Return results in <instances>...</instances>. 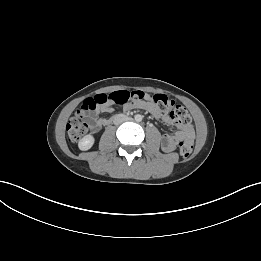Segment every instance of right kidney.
Wrapping results in <instances>:
<instances>
[{
	"mask_svg": "<svg viewBox=\"0 0 261 261\" xmlns=\"http://www.w3.org/2000/svg\"><path fill=\"white\" fill-rule=\"evenodd\" d=\"M94 137L90 134L84 136L78 143V147L80 150L86 151L89 150L94 144Z\"/></svg>",
	"mask_w": 261,
	"mask_h": 261,
	"instance_id": "right-kidney-1",
	"label": "right kidney"
}]
</instances>
